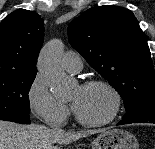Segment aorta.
<instances>
[{
    "label": "aorta",
    "mask_w": 155,
    "mask_h": 149,
    "mask_svg": "<svg viewBox=\"0 0 155 149\" xmlns=\"http://www.w3.org/2000/svg\"><path fill=\"white\" fill-rule=\"evenodd\" d=\"M63 51V42L53 39L42 48L38 59L39 72L57 98L68 97L74 86L72 79L64 72Z\"/></svg>",
    "instance_id": "762f6f07"
}]
</instances>
